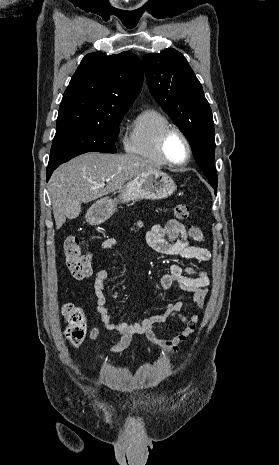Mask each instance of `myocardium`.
Returning a JSON list of instances; mask_svg holds the SVG:
<instances>
[{
  "instance_id": "f54148a6",
  "label": "myocardium",
  "mask_w": 279,
  "mask_h": 465,
  "mask_svg": "<svg viewBox=\"0 0 279 465\" xmlns=\"http://www.w3.org/2000/svg\"><path fill=\"white\" fill-rule=\"evenodd\" d=\"M173 133H177L179 134L182 139L184 140L185 144H186V147H187V156L186 158L182 161V162H174L172 161L167 153H166V141L168 139V137L173 134ZM158 150H159V153L161 155V157L164 159V161L171 165V166H174V167H181V166H184L186 165L191 157H192V145H191V142L188 138V136L186 135V133L181 130L180 128L178 127H175V126H170L168 128H166L159 136V139H158Z\"/></svg>"
}]
</instances>
